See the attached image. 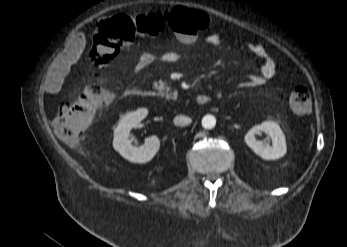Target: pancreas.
Returning <instances> with one entry per match:
<instances>
[{
	"label": "pancreas",
	"mask_w": 347,
	"mask_h": 247,
	"mask_svg": "<svg viewBox=\"0 0 347 247\" xmlns=\"http://www.w3.org/2000/svg\"><path fill=\"white\" fill-rule=\"evenodd\" d=\"M154 88L158 89V94L161 97H166L167 99H176L177 95L176 93H172L171 89L169 86H167L163 81L155 82L154 83Z\"/></svg>",
	"instance_id": "1"
}]
</instances>
